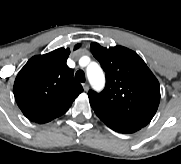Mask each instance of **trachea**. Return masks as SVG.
Instances as JSON below:
<instances>
[{
	"label": "trachea",
	"instance_id": "trachea-1",
	"mask_svg": "<svg viewBox=\"0 0 181 164\" xmlns=\"http://www.w3.org/2000/svg\"><path fill=\"white\" fill-rule=\"evenodd\" d=\"M75 79L79 82L84 83L86 80L84 72L82 70L77 71L75 74Z\"/></svg>",
	"mask_w": 181,
	"mask_h": 164
}]
</instances>
